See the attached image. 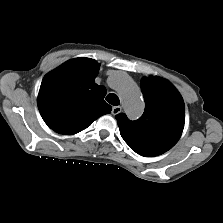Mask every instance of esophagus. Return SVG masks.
<instances>
[{"label": "esophagus", "mask_w": 223, "mask_h": 223, "mask_svg": "<svg viewBox=\"0 0 223 223\" xmlns=\"http://www.w3.org/2000/svg\"><path fill=\"white\" fill-rule=\"evenodd\" d=\"M121 110H122V108L120 106H114L112 108V114L113 115H117V114H119L121 112Z\"/></svg>", "instance_id": "obj_1"}]
</instances>
